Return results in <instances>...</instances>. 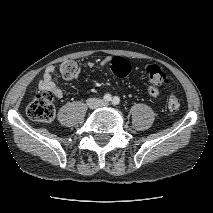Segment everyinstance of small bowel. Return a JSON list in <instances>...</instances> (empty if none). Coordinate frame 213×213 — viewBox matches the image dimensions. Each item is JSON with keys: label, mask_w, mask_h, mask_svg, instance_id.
Wrapping results in <instances>:
<instances>
[{"label": "small bowel", "mask_w": 213, "mask_h": 213, "mask_svg": "<svg viewBox=\"0 0 213 213\" xmlns=\"http://www.w3.org/2000/svg\"><path fill=\"white\" fill-rule=\"evenodd\" d=\"M111 61L112 59L108 57L100 60L97 64L94 62H89L87 64V67L90 69H95L97 65L98 67L103 68L109 63H111ZM136 72L138 71L136 70ZM54 73H55V66L53 65L47 66L43 72L42 79L39 83V88L42 91H50L56 98H61L63 96V91L59 87V85L54 81ZM76 76L73 78H76ZM148 94L156 100L160 98V91L156 87L153 86L149 87Z\"/></svg>", "instance_id": "1"}]
</instances>
